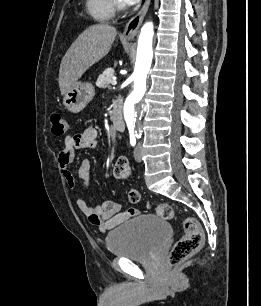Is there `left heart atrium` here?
I'll use <instances>...</instances> for the list:
<instances>
[{
  "label": "left heart atrium",
  "mask_w": 261,
  "mask_h": 306,
  "mask_svg": "<svg viewBox=\"0 0 261 306\" xmlns=\"http://www.w3.org/2000/svg\"><path fill=\"white\" fill-rule=\"evenodd\" d=\"M125 4L131 5L137 3L139 0H122Z\"/></svg>",
  "instance_id": "39dd6f15"
}]
</instances>
